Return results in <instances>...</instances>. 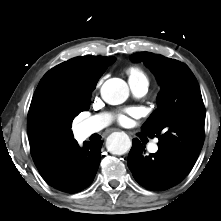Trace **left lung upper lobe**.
Wrapping results in <instances>:
<instances>
[{"label": "left lung upper lobe", "instance_id": "5c2ea615", "mask_svg": "<svg viewBox=\"0 0 221 221\" xmlns=\"http://www.w3.org/2000/svg\"><path fill=\"white\" fill-rule=\"evenodd\" d=\"M132 60L144 61L161 86L158 109L142 130L158 137L159 149L189 172L204 142L205 107L195 76L187 65L162 55L140 52Z\"/></svg>", "mask_w": 221, "mask_h": 221}]
</instances>
